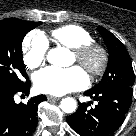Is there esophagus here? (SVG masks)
Listing matches in <instances>:
<instances>
[{
	"instance_id": "1",
	"label": "esophagus",
	"mask_w": 136,
	"mask_h": 136,
	"mask_svg": "<svg viewBox=\"0 0 136 136\" xmlns=\"http://www.w3.org/2000/svg\"><path fill=\"white\" fill-rule=\"evenodd\" d=\"M47 99H48V101H58V100H60L59 97H54V96H51V95L47 96Z\"/></svg>"
}]
</instances>
